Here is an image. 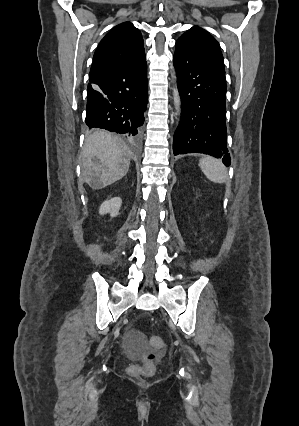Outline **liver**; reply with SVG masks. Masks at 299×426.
Returning a JSON list of instances; mask_svg holds the SVG:
<instances>
[{"mask_svg": "<svg viewBox=\"0 0 299 426\" xmlns=\"http://www.w3.org/2000/svg\"><path fill=\"white\" fill-rule=\"evenodd\" d=\"M130 158L131 151L120 138L95 131L86 137L81 152L82 178L92 188L106 187L127 174Z\"/></svg>", "mask_w": 299, "mask_h": 426, "instance_id": "obj_1", "label": "liver"}]
</instances>
